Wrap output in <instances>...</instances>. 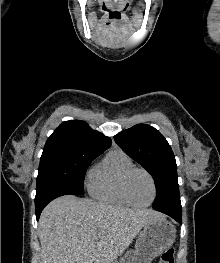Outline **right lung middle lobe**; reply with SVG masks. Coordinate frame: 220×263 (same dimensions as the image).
Masks as SVG:
<instances>
[{
    "label": "right lung middle lobe",
    "mask_w": 220,
    "mask_h": 263,
    "mask_svg": "<svg viewBox=\"0 0 220 263\" xmlns=\"http://www.w3.org/2000/svg\"><path fill=\"white\" fill-rule=\"evenodd\" d=\"M100 154L72 150L43 151L37 176L35 199L52 193H84V177L89 164Z\"/></svg>",
    "instance_id": "obj_1"
}]
</instances>
